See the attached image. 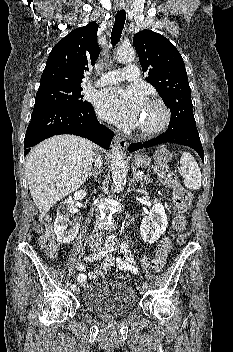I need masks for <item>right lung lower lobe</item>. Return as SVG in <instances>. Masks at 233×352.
<instances>
[{"label": "right lung lower lobe", "instance_id": "right-lung-lower-lobe-1", "mask_svg": "<svg viewBox=\"0 0 233 352\" xmlns=\"http://www.w3.org/2000/svg\"><path fill=\"white\" fill-rule=\"evenodd\" d=\"M59 134L85 137L104 149L114 133L99 124L91 104L74 108H46L33 111L24 139V154L46 138Z\"/></svg>", "mask_w": 233, "mask_h": 352}]
</instances>
